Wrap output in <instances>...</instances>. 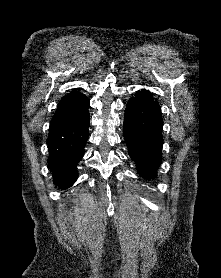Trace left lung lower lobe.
Returning <instances> with one entry per match:
<instances>
[{
  "label": "left lung lower lobe",
  "mask_w": 221,
  "mask_h": 278,
  "mask_svg": "<svg viewBox=\"0 0 221 278\" xmlns=\"http://www.w3.org/2000/svg\"><path fill=\"white\" fill-rule=\"evenodd\" d=\"M162 125L158 102L129 100L124 115V139L137 172L146 179L156 176L161 162Z\"/></svg>",
  "instance_id": "0a47b994"
}]
</instances>
